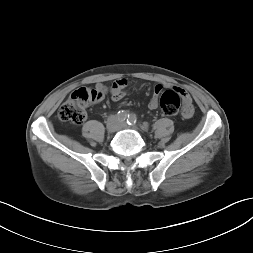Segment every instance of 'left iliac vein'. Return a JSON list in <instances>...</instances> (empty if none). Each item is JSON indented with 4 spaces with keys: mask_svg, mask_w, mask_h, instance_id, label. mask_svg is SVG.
<instances>
[{
    "mask_svg": "<svg viewBox=\"0 0 253 253\" xmlns=\"http://www.w3.org/2000/svg\"><path fill=\"white\" fill-rule=\"evenodd\" d=\"M120 126H121L122 128H127V125H126V123H124V122H122V123L120 124Z\"/></svg>",
    "mask_w": 253,
    "mask_h": 253,
    "instance_id": "obj_1",
    "label": "left iliac vein"
}]
</instances>
